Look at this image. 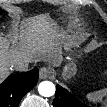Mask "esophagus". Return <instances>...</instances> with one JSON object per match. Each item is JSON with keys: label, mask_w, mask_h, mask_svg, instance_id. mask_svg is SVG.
<instances>
[{"label": "esophagus", "mask_w": 107, "mask_h": 107, "mask_svg": "<svg viewBox=\"0 0 107 107\" xmlns=\"http://www.w3.org/2000/svg\"><path fill=\"white\" fill-rule=\"evenodd\" d=\"M49 76V71L47 70V68H42L40 70V78L41 79H46Z\"/></svg>", "instance_id": "1"}]
</instances>
